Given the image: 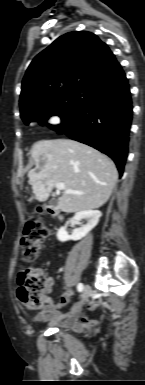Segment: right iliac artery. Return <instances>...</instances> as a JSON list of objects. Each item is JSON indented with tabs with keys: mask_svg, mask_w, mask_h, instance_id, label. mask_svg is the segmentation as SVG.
I'll return each instance as SVG.
<instances>
[{
	"mask_svg": "<svg viewBox=\"0 0 145 385\" xmlns=\"http://www.w3.org/2000/svg\"><path fill=\"white\" fill-rule=\"evenodd\" d=\"M84 286L82 283H79L78 286H77V289L79 292H81L83 290Z\"/></svg>",
	"mask_w": 145,
	"mask_h": 385,
	"instance_id": "82829eb1",
	"label": "right iliac artery"
}]
</instances>
